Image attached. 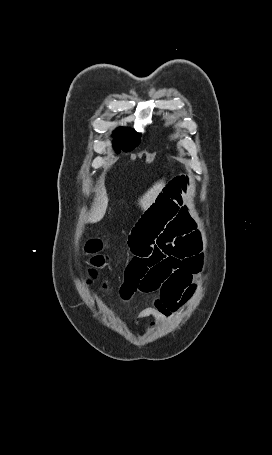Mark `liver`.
Returning <instances> with one entry per match:
<instances>
[{
    "label": "liver",
    "instance_id": "liver-1",
    "mask_svg": "<svg viewBox=\"0 0 272 455\" xmlns=\"http://www.w3.org/2000/svg\"><path fill=\"white\" fill-rule=\"evenodd\" d=\"M164 186H165V182L163 180H160L159 182H156L143 195V197L139 200V204L144 211L147 210L155 202L156 198L161 193ZM107 205H108V197H107L105 189L103 188L101 191H99V193L97 194V197L94 201V206L91 209L89 221L91 223L100 221L105 215Z\"/></svg>",
    "mask_w": 272,
    "mask_h": 455
}]
</instances>
